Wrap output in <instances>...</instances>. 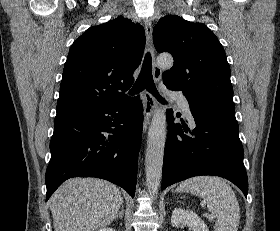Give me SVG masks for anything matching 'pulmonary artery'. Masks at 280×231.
<instances>
[{
	"mask_svg": "<svg viewBox=\"0 0 280 231\" xmlns=\"http://www.w3.org/2000/svg\"><path fill=\"white\" fill-rule=\"evenodd\" d=\"M168 96L175 100L178 105H189V102L187 100V98L184 96V94L180 91H172V92H168ZM182 113H191V110H181ZM190 123L194 122L193 118H186Z\"/></svg>",
	"mask_w": 280,
	"mask_h": 231,
	"instance_id": "pulmonary-artery-1",
	"label": "pulmonary artery"
}]
</instances>
